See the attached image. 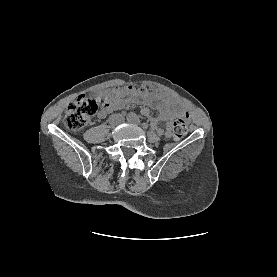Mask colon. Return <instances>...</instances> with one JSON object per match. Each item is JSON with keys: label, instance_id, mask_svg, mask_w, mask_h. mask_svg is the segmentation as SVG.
<instances>
[{"label": "colon", "instance_id": "colon-1", "mask_svg": "<svg viewBox=\"0 0 277 277\" xmlns=\"http://www.w3.org/2000/svg\"><path fill=\"white\" fill-rule=\"evenodd\" d=\"M97 102L86 96H79L73 100L65 113L63 123L67 130L77 131L89 124L91 118L96 113ZM173 137L182 139L187 133L185 120L177 119L172 124Z\"/></svg>", "mask_w": 277, "mask_h": 277}]
</instances>
